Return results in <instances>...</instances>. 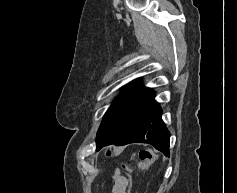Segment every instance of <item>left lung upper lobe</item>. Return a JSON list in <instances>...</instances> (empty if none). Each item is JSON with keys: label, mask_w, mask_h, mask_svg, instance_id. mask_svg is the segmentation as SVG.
I'll use <instances>...</instances> for the list:
<instances>
[{"label": "left lung upper lobe", "mask_w": 237, "mask_h": 193, "mask_svg": "<svg viewBox=\"0 0 237 193\" xmlns=\"http://www.w3.org/2000/svg\"><path fill=\"white\" fill-rule=\"evenodd\" d=\"M147 91V88L140 86L139 80L133 81L130 86L123 89L116 103L112 104L104 115L97 133V148L101 149L116 142Z\"/></svg>", "instance_id": "5c2ea615"}]
</instances>
